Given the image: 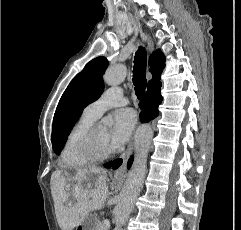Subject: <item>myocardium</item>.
Returning a JSON list of instances; mask_svg holds the SVG:
<instances>
[{
    "instance_id": "1",
    "label": "myocardium",
    "mask_w": 241,
    "mask_h": 230,
    "mask_svg": "<svg viewBox=\"0 0 241 230\" xmlns=\"http://www.w3.org/2000/svg\"><path fill=\"white\" fill-rule=\"evenodd\" d=\"M96 124H93L82 136L79 143V152L81 156L90 162L101 161L112 155L113 151L108 149H101L96 143L95 133L97 129Z\"/></svg>"
}]
</instances>
